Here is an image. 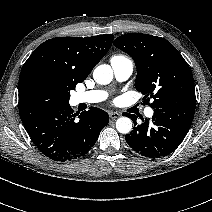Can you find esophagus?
<instances>
[{"label":"esophagus","instance_id":"34e87169","mask_svg":"<svg viewBox=\"0 0 212 212\" xmlns=\"http://www.w3.org/2000/svg\"><path fill=\"white\" fill-rule=\"evenodd\" d=\"M109 116L111 119H117L118 117H120V113L118 112H110Z\"/></svg>","mask_w":212,"mask_h":212}]
</instances>
